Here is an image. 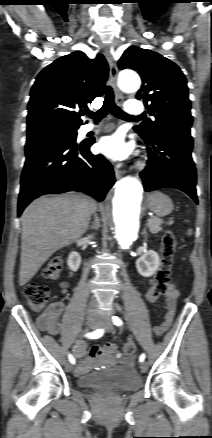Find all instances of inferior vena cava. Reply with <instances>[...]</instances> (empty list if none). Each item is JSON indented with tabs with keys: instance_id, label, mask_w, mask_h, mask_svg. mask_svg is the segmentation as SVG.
<instances>
[{
	"instance_id": "obj_1",
	"label": "inferior vena cava",
	"mask_w": 212,
	"mask_h": 438,
	"mask_svg": "<svg viewBox=\"0 0 212 438\" xmlns=\"http://www.w3.org/2000/svg\"><path fill=\"white\" fill-rule=\"evenodd\" d=\"M94 225L97 226L96 222H95ZM98 226H99V222H98ZM98 226H97V228H98ZM90 306H91V307H95V306H96V301H95V299H92V300H91V302H90Z\"/></svg>"
}]
</instances>
